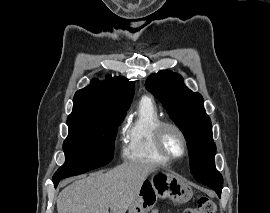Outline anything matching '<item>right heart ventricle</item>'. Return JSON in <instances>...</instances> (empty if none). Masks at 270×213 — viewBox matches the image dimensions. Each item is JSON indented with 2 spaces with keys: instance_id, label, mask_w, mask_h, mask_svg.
Masks as SVG:
<instances>
[{
  "instance_id": "e07e8e85",
  "label": "right heart ventricle",
  "mask_w": 270,
  "mask_h": 213,
  "mask_svg": "<svg viewBox=\"0 0 270 213\" xmlns=\"http://www.w3.org/2000/svg\"><path fill=\"white\" fill-rule=\"evenodd\" d=\"M163 117L149 98H142L128 120L124 136V157L133 162H168L156 149L154 135Z\"/></svg>"
}]
</instances>
